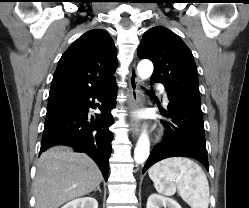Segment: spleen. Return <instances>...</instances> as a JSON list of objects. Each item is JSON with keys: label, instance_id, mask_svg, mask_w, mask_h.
<instances>
[{"label": "spleen", "instance_id": "obj_1", "mask_svg": "<svg viewBox=\"0 0 249 208\" xmlns=\"http://www.w3.org/2000/svg\"><path fill=\"white\" fill-rule=\"evenodd\" d=\"M148 174L157 192L171 196L177 190L191 208H208L210 194L207 177L202 168L191 159H164L154 164Z\"/></svg>", "mask_w": 249, "mask_h": 208}]
</instances>
